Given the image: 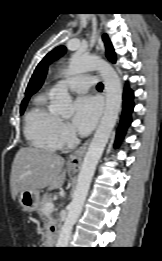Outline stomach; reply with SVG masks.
Segmentation results:
<instances>
[{"label": "stomach", "instance_id": "0dacf381", "mask_svg": "<svg viewBox=\"0 0 162 261\" xmlns=\"http://www.w3.org/2000/svg\"><path fill=\"white\" fill-rule=\"evenodd\" d=\"M20 205L28 212L35 211L40 202L39 191H21L18 197Z\"/></svg>", "mask_w": 162, "mask_h": 261}]
</instances>
